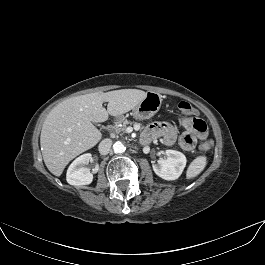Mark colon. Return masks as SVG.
Segmentation results:
<instances>
[{"mask_svg": "<svg viewBox=\"0 0 265 265\" xmlns=\"http://www.w3.org/2000/svg\"><path fill=\"white\" fill-rule=\"evenodd\" d=\"M179 108L184 114L188 116H191V117L197 116V110L188 102H184V101L180 102ZM212 145L213 143L211 139L205 138L203 142L200 144L199 149L201 152H206L211 149Z\"/></svg>", "mask_w": 265, "mask_h": 265, "instance_id": "colon-1", "label": "colon"}]
</instances>
